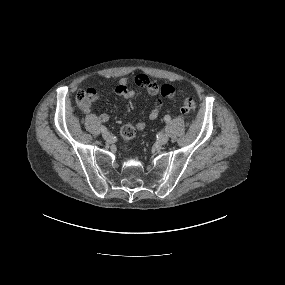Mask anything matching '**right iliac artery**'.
<instances>
[{"instance_id":"1","label":"right iliac artery","mask_w":285,"mask_h":285,"mask_svg":"<svg viewBox=\"0 0 285 285\" xmlns=\"http://www.w3.org/2000/svg\"><path fill=\"white\" fill-rule=\"evenodd\" d=\"M100 130H101V132H105L106 131V127L105 126H101Z\"/></svg>"}]
</instances>
